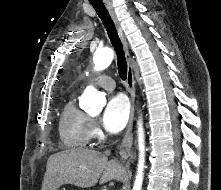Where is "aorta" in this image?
<instances>
[{
  "label": "aorta",
  "mask_w": 221,
  "mask_h": 190,
  "mask_svg": "<svg viewBox=\"0 0 221 190\" xmlns=\"http://www.w3.org/2000/svg\"><path fill=\"white\" fill-rule=\"evenodd\" d=\"M114 59V52L110 48L98 49L94 53L93 63L96 71L106 69ZM82 101L85 105L86 112L89 115H96L106 103V99L93 86H88L83 95ZM138 147H139V161L137 168V175L132 190H141L143 182V171L145 163V136L142 119L138 121Z\"/></svg>",
  "instance_id": "obj_1"
}]
</instances>
